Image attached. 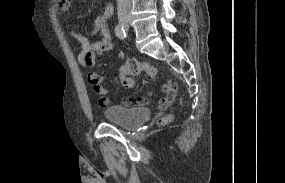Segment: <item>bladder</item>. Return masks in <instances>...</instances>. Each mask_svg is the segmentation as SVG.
<instances>
[{"label": "bladder", "mask_w": 285, "mask_h": 183, "mask_svg": "<svg viewBox=\"0 0 285 183\" xmlns=\"http://www.w3.org/2000/svg\"><path fill=\"white\" fill-rule=\"evenodd\" d=\"M147 107H129L122 104L112 105L103 112L105 119L111 123L135 127L144 122L149 116Z\"/></svg>", "instance_id": "31cf9c89"}]
</instances>
